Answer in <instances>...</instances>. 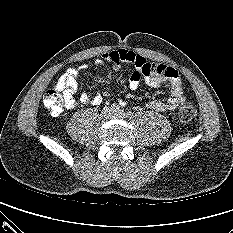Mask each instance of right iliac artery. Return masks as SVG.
Segmentation results:
<instances>
[{"label": "right iliac artery", "instance_id": "82829eb1", "mask_svg": "<svg viewBox=\"0 0 233 233\" xmlns=\"http://www.w3.org/2000/svg\"><path fill=\"white\" fill-rule=\"evenodd\" d=\"M111 109H112L113 112H118L120 110V107H119L118 104H113Z\"/></svg>", "mask_w": 233, "mask_h": 233}]
</instances>
